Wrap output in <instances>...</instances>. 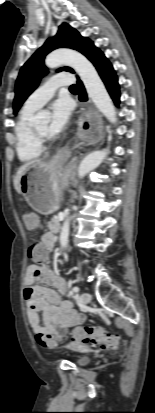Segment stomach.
<instances>
[{"instance_id":"0dacf381","label":"stomach","mask_w":155,"mask_h":413,"mask_svg":"<svg viewBox=\"0 0 155 413\" xmlns=\"http://www.w3.org/2000/svg\"><path fill=\"white\" fill-rule=\"evenodd\" d=\"M68 176L54 161L35 163L20 179V194L34 210L44 215L51 214L59 208Z\"/></svg>"}]
</instances>
